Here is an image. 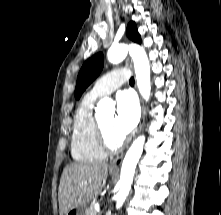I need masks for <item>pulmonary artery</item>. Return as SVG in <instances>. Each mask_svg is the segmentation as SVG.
<instances>
[{
    "mask_svg": "<svg viewBox=\"0 0 221 215\" xmlns=\"http://www.w3.org/2000/svg\"><path fill=\"white\" fill-rule=\"evenodd\" d=\"M129 76L130 72L127 69L113 70L97 80L89 94L96 98L108 95L127 82Z\"/></svg>",
    "mask_w": 221,
    "mask_h": 215,
    "instance_id": "obj_1",
    "label": "pulmonary artery"
}]
</instances>
